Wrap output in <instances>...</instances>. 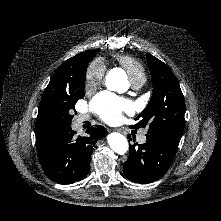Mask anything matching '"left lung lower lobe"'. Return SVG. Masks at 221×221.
Masks as SVG:
<instances>
[{
    "instance_id": "obj_1",
    "label": "left lung lower lobe",
    "mask_w": 221,
    "mask_h": 221,
    "mask_svg": "<svg viewBox=\"0 0 221 221\" xmlns=\"http://www.w3.org/2000/svg\"><path fill=\"white\" fill-rule=\"evenodd\" d=\"M181 136L168 132L147 134L146 143L130 145V154L123 167L125 176L142 184L161 178L175 158Z\"/></svg>"
}]
</instances>
